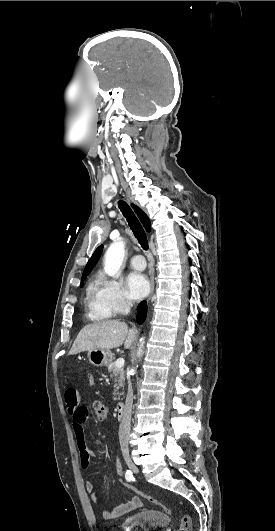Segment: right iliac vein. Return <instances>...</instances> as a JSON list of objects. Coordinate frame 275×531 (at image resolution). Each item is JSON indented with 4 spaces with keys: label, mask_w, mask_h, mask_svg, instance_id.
Segmentation results:
<instances>
[{
    "label": "right iliac vein",
    "mask_w": 275,
    "mask_h": 531,
    "mask_svg": "<svg viewBox=\"0 0 275 531\" xmlns=\"http://www.w3.org/2000/svg\"><path fill=\"white\" fill-rule=\"evenodd\" d=\"M124 460L127 464V466L130 468V470L134 473H138V468L136 467V465L133 463L131 457L129 456V454L125 453L124 454Z\"/></svg>",
    "instance_id": "obj_1"
}]
</instances>
